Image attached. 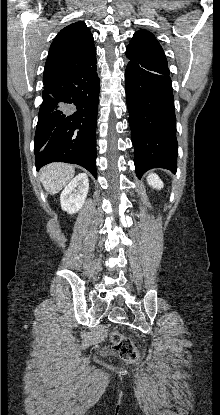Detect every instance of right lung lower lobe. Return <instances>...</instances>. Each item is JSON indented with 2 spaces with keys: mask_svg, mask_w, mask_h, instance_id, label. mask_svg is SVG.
<instances>
[{
  "mask_svg": "<svg viewBox=\"0 0 220 415\" xmlns=\"http://www.w3.org/2000/svg\"><path fill=\"white\" fill-rule=\"evenodd\" d=\"M96 63L44 84L34 139L37 170L51 162L74 163L97 178L100 79Z\"/></svg>",
  "mask_w": 220,
  "mask_h": 415,
  "instance_id": "1",
  "label": "right lung lower lobe"
}]
</instances>
